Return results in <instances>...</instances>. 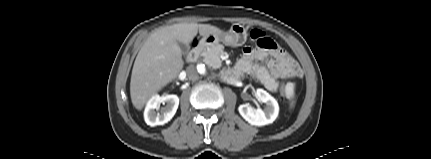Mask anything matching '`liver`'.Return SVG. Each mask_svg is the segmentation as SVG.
<instances>
[{"label":"liver","instance_id":"obj_1","mask_svg":"<svg viewBox=\"0 0 431 159\" xmlns=\"http://www.w3.org/2000/svg\"><path fill=\"white\" fill-rule=\"evenodd\" d=\"M222 30L210 24L180 23L154 31L135 59L130 96L133 106L141 110L158 91L172 82L183 69L184 61L178 42L189 44L197 33L203 37Z\"/></svg>","mask_w":431,"mask_h":159}]
</instances>
